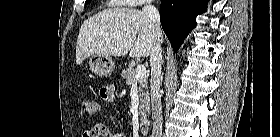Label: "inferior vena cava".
Segmentation results:
<instances>
[{
	"instance_id": "inferior-vena-cava-1",
	"label": "inferior vena cava",
	"mask_w": 280,
	"mask_h": 137,
	"mask_svg": "<svg viewBox=\"0 0 280 137\" xmlns=\"http://www.w3.org/2000/svg\"><path fill=\"white\" fill-rule=\"evenodd\" d=\"M143 13L149 18L152 32L155 36L153 46L150 53L151 66V107H152V136H162V105L160 95L161 85V63L162 49L160 37L162 34L160 26V15L158 9L152 5V1L148 0L147 4L142 9Z\"/></svg>"
}]
</instances>
